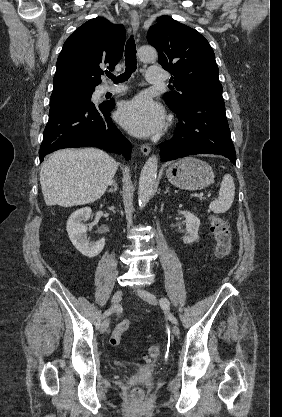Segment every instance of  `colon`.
Instances as JSON below:
<instances>
[{"label": "colon", "mask_w": 282, "mask_h": 417, "mask_svg": "<svg viewBox=\"0 0 282 417\" xmlns=\"http://www.w3.org/2000/svg\"><path fill=\"white\" fill-rule=\"evenodd\" d=\"M210 230L215 238V253L219 260L228 257L232 248V238L230 234L228 221L219 215H210ZM131 328L129 319L122 320L113 330L109 338V344L112 347H118L122 337ZM162 354L161 346L158 344L150 345L146 351V360L154 361L160 358ZM133 403H146L148 391L147 389H132L131 391Z\"/></svg>", "instance_id": "obj_1"}]
</instances>
